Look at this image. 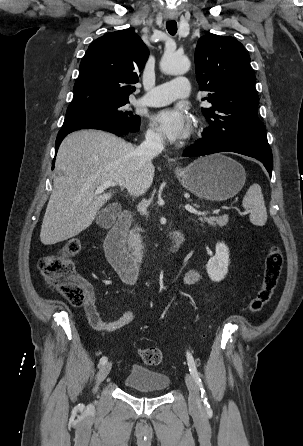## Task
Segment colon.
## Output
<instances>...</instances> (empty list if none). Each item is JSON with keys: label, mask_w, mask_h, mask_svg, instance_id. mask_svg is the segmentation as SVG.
<instances>
[{"label": "colon", "mask_w": 303, "mask_h": 446, "mask_svg": "<svg viewBox=\"0 0 303 446\" xmlns=\"http://www.w3.org/2000/svg\"><path fill=\"white\" fill-rule=\"evenodd\" d=\"M80 251V240L72 238L62 245L57 254L43 256L38 261V269L43 278L74 306H83L87 301L85 292L75 273L72 260ZM282 266V252L279 247L272 246L265 258L261 287L257 294L244 306L243 310L245 312H259L270 301L278 285ZM138 355L146 365L156 366L162 361V352L158 348L139 350Z\"/></svg>", "instance_id": "colon-1"}]
</instances>
